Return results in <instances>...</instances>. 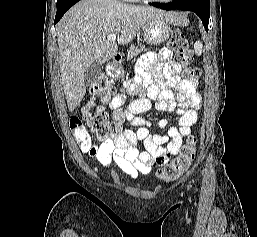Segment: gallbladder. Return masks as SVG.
<instances>
[{
    "instance_id": "bac80fb5",
    "label": "gallbladder",
    "mask_w": 257,
    "mask_h": 237,
    "mask_svg": "<svg viewBox=\"0 0 257 237\" xmlns=\"http://www.w3.org/2000/svg\"><path fill=\"white\" fill-rule=\"evenodd\" d=\"M102 72V65L94 62L92 63L84 73L85 85L90 86L95 83Z\"/></svg>"
}]
</instances>
